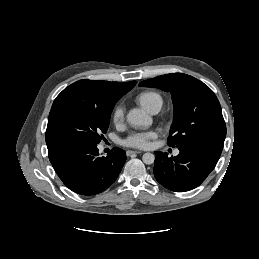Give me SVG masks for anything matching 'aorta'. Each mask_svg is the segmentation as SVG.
I'll return each mask as SVG.
<instances>
[{"instance_id":"762f6f07","label":"aorta","mask_w":259,"mask_h":259,"mask_svg":"<svg viewBox=\"0 0 259 259\" xmlns=\"http://www.w3.org/2000/svg\"><path fill=\"white\" fill-rule=\"evenodd\" d=\"M128 123L134 128H148L152 124V118L144 110L131 109L127 114ZM142 160L145 164H152L155 160V155L152 153H144Z\"/></svg>"}]
</instances>
